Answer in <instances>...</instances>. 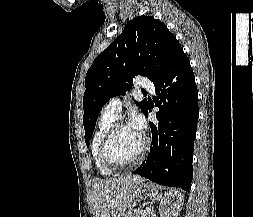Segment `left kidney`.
<instances>
[{
    "instance_id": "1",
    "label": "left kidney",
    "mask_w": 253,
    "mask_h": 217,
    "mask_svg": "<svg viewBox=\"0 0 253 217\" xmlns=\"http://www.w3.org/2000/svg\"><path fill=\"white\" fill-rule=\"evenodd\" d=\"M183 196L176 190L166 193L160 203L161 217H171L180 211Z\"/></svg>"
}]
</instances>
